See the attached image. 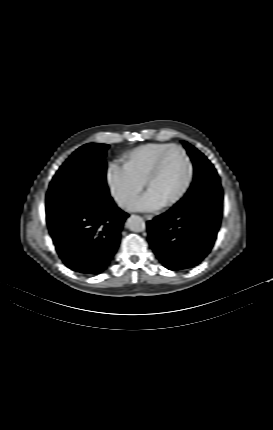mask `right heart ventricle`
Returning <instances> with one entry per match:
<instances>
[{"mask_svg":"<svg viewBox=\"0 0 273 430\" xmlns=\"http://www.w3.org/2000/svg\"><path fill=\"white\" fill-rule=\"evenodd\" d=\"M172 144L147 143L127 152L122 162L130 173L141 182L145 180L160 153Z\"/></svg>","mask_w":273,"mask_h":430,"instance_id":"obj_1","label":"right heart ventricle"}]
</instances>
